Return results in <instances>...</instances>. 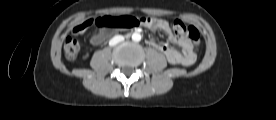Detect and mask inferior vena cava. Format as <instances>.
Segmentation results:
<instances>
[{"instance_id":"602c4592","label":"inferior vena cava","mask_w":276,"mask_h":120,"mask_svg":"<svg viewBox=\"0 0 276 120\" xmlns=\"http://www.w3.org/2000/svg\"><path fill=\"white\" fill-rule=\"evenodd\" d=\"M123 40H124V37L118 35V36L113 37V38L110 40L109 44H110V46H114V45H116L117 43H119V42H121V41H123Z\"/></svg>"}]
</instances>
